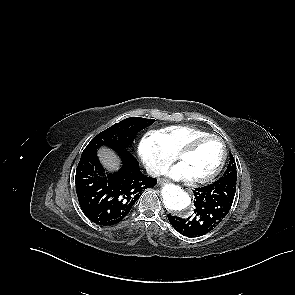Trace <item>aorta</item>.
Returning <instances> with one entry per match:
<instances>
[{"instance_id":"obj_1","label":"aorta","mask_w":295,"mask_h":295,"mask_svg":"<svg viewBox=\"0 0 295 295\" xmlns=\"http://www.w3.org/2000/svg\"><path fill=\"white\" fill-rule=\"evenodd\" d=\"M161 195L165 208L174 212H183L191 204V198L186 191L174 184H165Z\"/></svg>"}]
</instances>
